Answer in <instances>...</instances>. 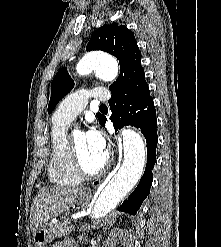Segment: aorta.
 <instances>
[{
	"instance_id": "aorta-1",
	"label": "aorta",
	"mask_w": 221,
	"mask_h": 247,
	"mask_svg": "<svg viewBox=\"0 0 221 247\" xmlns=\"http://www.w3.org/2000/svg\"><path fill=\"white\" fill-rule=\"evenodd\" d=\"M77 72L83 74L93 69L105 81H113L118 75V63L110 55L92 52L77 64ZM123 162L98 196L93 218L112 211L139 181L145 164V144L141 135L132 129H123Z\"/></svg>"
}]
</instances>
